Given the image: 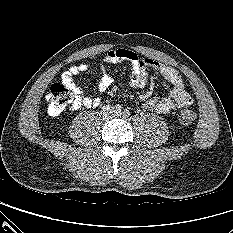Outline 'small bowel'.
<instances>
[{"instance_id":"c3829d8e","label":"small bowel","mask_w":233,"mask_h":233,"mask_svg":"<svg viewBox=\"0 0 233 233\" xmlns=\"http://www.w3.org/2000/svg\"><path fill=\"white\" fill-rule=\"evenodd\" d=\"M127 61L131 64L132 73L129 78V85L132 88H144L148 83V70H153L171 84L170 96L164 99L150 98L144 103L147 110L160 114L169 113L177 108L191 105L193 100L186 91L179 73L172 67L159 63L150 58L139 57L135 52L128 49L110 50L105 59L106 64H116ZM88 70V65L80 64L70 67L62 76L63 83L74 93L73 109L80 107L95 108L101 103L100 98L89 97L83 94L82 89L75 83V77ZM112 78L103 74L98 89L106 92L112 85Z\"/></svg>"}]
</instances>
